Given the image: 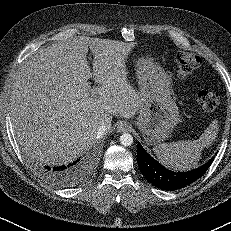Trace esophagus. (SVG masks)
I'll return each instance as SVG.
<instances>
[{"mask_svg": "<svg viewBox=\"0 0 231 231\" xmlns=\"http://www.w3.org/2000/svg\"><path fill=\"white\" fill-rule=\"evenodd\" d=\"M129 130V125L126 122H119L117 124V131L118 132H125Z\"/></svg>", "mask_w": 231, "mask_h": 231, "instance_id": "34e87169", "label": "esophagus"}]
</instances>
